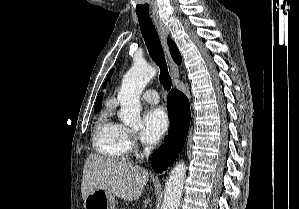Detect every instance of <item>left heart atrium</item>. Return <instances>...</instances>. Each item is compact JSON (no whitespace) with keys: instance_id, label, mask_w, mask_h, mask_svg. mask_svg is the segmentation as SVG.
I'll use <instances>...</instances> for the list:
<instances>
[{"instance_id":"left-heart-atrium-1","label":"left heart atrium","mask_w":299,"mask_h":209,"mask_svg":"<svg viewBox=\"0 0 299 209\" xmlns=\"http://www.w3.org/2000/svg\"><path fill=\"white\" fill-rule=\"evenodd\" d=\"M141 139L145 144H155L163 137L169 126L167 113L163 108L150 109L143 119Z\"/></svg>"}]
</instances>
